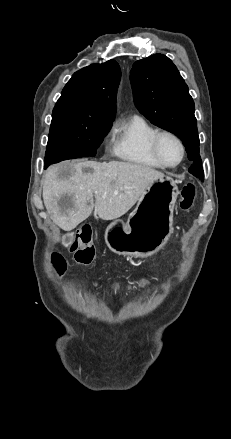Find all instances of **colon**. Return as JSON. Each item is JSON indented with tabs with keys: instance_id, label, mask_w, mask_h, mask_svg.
I'll return each mask as SVG.
<instances>
[{
	"instance_id": "colon-1",
	"label": "colon",
	"mask_w": 231,
	"mask_h": 439,
	"mask_svg": "<svg viewBox=\"0 0 231 439\" xmlns=\"http://www.w3.org/2000/svg\"><path fill=\"white\" fill-rule=\"evenodd\" d=\"M195 190L192 184H188L182 191L180 208L188 210L194 200ZM70 250L74 252L75 260L78 264L89 265L95 257V248L92 242V229L90 226H83L77 231ZM52 263L58 275H62L66 269L64 259L60 255L52 256ZM118 284H114V289H119Z\"/></svg>"
}]
</instances>
